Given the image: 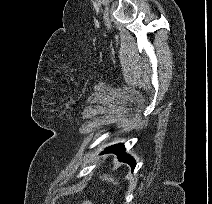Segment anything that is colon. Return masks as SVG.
<instances>
[{
  "instance_id": "1",
  "label": "colon",
  "mask_w": 212,
  "mask_h": 204,
  "mask_svg": "<svg viewBox=\"0 0 212 204\" xmlns=\"http://www.w3.org/2000/svg\"><path fill=\"white\" fill-rule=\"evenodd\" d=\"M103 193L106 195L107 199H108L109 202L112 204V199H111L110 195H109L106 191H103ZM83 204H92V203H91V201H89V200H85V201L83 202Z\"/></svg>"
}]
</instances>
